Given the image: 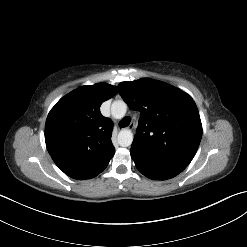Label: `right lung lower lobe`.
Listing matches in <instances>:
<instances>
[{
	"instance_id": "98d812e1",
	"label": "right lung lower lobe",
	"mask_w": 247,
	"mask_h": 247,
	"mask_svg": "<svg viewBox=\"0 0 247 247\" xmlns=\"http://www.w3.org/2000/svg\"><path fill=\"white\" fill-rule=\"evenodd\" d=\"M114 153L107 158L100 166H98L95 170H93L92 172H90L89 174H87L86 176L79 178V179H90L93 177H96L98 174H100L108 165L110 159L113 157Z\"/></svg>"
}]
</instances>
